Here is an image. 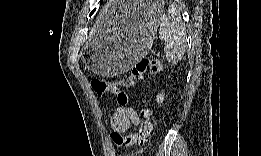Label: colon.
Masks as SVG:
<instances>
[{"label":"colon","instance_id":"colon-1","mask_svg":"<svg viewBox=\"0 0 261 156\" xmlns=\"http://www.w3.org/2000/svg\"><path fill=\"white\" fill-rule=\"evenodd\" d=\"M161 71V63L158 60H140L132 71L129 80L124 83L105 81L102 79H93L91 87L99 96L115 95L120 106H125L128 102V91L134 87L137 80L141 79L143 74L149 72L156 75ZM143 121L136 133L123 136L120 133L113 132L111 140L116 148H126L133 145H144L151 133L152 124L150 121V111L148 109L141 110Z\"/></svg>","mask_w":261,"mask_h":156}]
</instances>
